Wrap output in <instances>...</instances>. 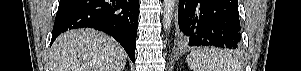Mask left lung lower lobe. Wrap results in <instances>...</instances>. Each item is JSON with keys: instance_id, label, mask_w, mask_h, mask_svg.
Segmentation results:
<instances>
[{"instance_id": "1", "label": "left lung lower lobe", "mask_w": 301, "mask_h": 71, "mask_svg": "<svg viewBox=\"0 0 301 71\" xmlns=\"http://www.w3.org/2000/svg\"><path fill=\"white\" fill-rule=\"evenodd\" d=\"M180 42L235 49L241 44L237 0H179Z\"/></svg>"}]
</instances>
